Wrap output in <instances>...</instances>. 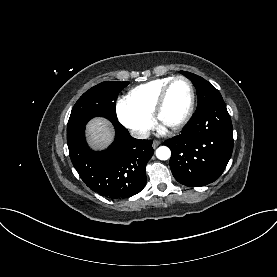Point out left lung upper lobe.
<instances>
[{"label": "left lung upper lobe", "mask_w": 277, "mask_h": 277, "mask_svg": "<svg viewBox=\"0 0 277 277\" xmlns=\"http://www.w3.org/2000/svg\"><path fill=\"white\" fill-rule=\"evenodd\" d=\"M180 73L189 78L196 87L198 98L197 109L215 98L222 97L220 92L202 77L186 71H180Z\"/></svg>", "instance_id": "1"}]
</instances>
